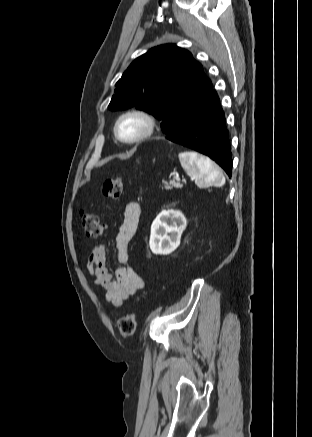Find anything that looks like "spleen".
Wrapping results in <instances>:
<instances>
[{
  "label": "spleen",
  "instance_id": "obj_1",
  "mask_svg": "<svg viewBox=\"0 0 312 437\" xmlns=\"http://www.w3.org/2000/svg\"><path fill=\"white\" fill-rule=\"evenodd\" d=\"M181 166L197 184L221 187L225 184L222 170L208 157L192 151L179 154Z\"/></svg>",
  "mask_w": 312,
  "mask_h": 437
}]
</instances>
